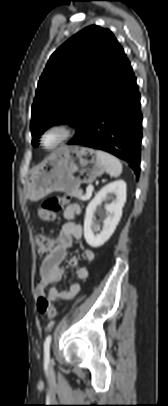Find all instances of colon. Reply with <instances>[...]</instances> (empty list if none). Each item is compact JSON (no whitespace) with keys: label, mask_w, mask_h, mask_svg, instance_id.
Wrapping results in <instances>:
<instances>
[{"label":"colon","mask_w":168,"mask_h":406,"mask_svg":"<svg viewBox=\"0 0 168 406\" xmlns=\"http://www.w3.org/2000/svg\"><path fill=\"white\" fill-rule=\"evenodd\" d=\"M65 196H51L47 198L38 208L37 215L41 221L49 222L56 219L58 213L66 204ZM57 241L53 236L41 234L37 237L38 253L42 258L48 257L56 247ZM37 309L42 315L48 318H55L57 311L56 307L43 295L37 299Z\"/></svg>","instance_id":"5ec220e1"}]
</instances>
